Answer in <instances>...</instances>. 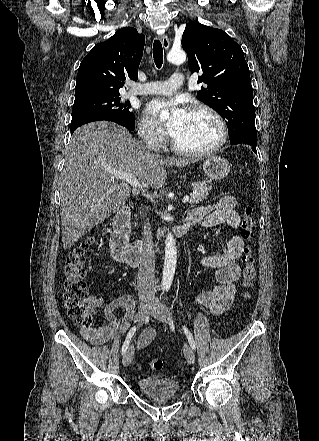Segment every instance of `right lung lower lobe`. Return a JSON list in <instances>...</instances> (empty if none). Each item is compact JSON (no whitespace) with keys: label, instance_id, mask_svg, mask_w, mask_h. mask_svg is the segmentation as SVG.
I'll use <instances>...</instances> for the list:
<instances>
[{"label":"right lung lower lobe","instance_id":"right-lung-lower-lobe-1","mask_svg":"<svg viewBox=\"0 0 319 441\" xmlns=\"http://www.w3.org/2000/svg\"><path fill=\"white\" fill-rule=\"evenodd\" d=\"M100 120H108V121H112V122H115V123H118V124L124 126L120 121H118L117 119L112 118V117H93V118H89V119L81 120V121H79V122H77V123H75V124H71V127H70V129H71V134H73V132H74L78 127H80V126L83 125V124H86V123H89V122H94V121H100Z\"/></svg>","mask_w":319,"mask_h":441}]
</instances>
